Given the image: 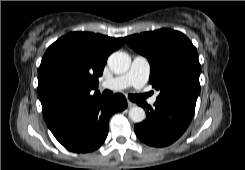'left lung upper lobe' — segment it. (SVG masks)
<instances>
[{
    "instance_id": "5c2ea615",
    "label": "left lung upper lobe",
    "mask_w": 245,
    "mask_h": 170,
    "mask_svg": "<svg viewBox=\"0 0 245 170\" xmlns=\"http://www.w3.org/2000/svg\"><path fill=\"white\" fill-rule=\"evenodd\" d=\"M125 40L147 57L151 65L149 82L160 91L156 101L195 110L200 63L192 42L183 33L169 29L136 34Z\"/></svg>"
}]
</instances>
